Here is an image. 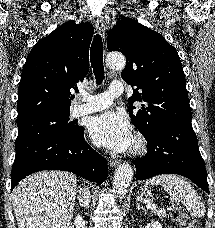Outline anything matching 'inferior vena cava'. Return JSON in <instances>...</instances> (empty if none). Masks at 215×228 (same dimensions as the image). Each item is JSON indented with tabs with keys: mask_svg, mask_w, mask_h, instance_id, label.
<instances>
[{
	"mask_svg": "<svg viewBox=\"0 0 215 228\" xmlns=\"http://www.w3.org/2000/svg\"><path fill=\"white\" fill-rule=\"evenodd\" d=\"M80 194H82V196H85V198H88V192H87L85 186H83V188H81Z\"/></svg>",
	"mask_w": 215,
	"mask_h": 228,
	"instance_id": "1",
	"label": "inferior vena cava"
}]
</instances>
